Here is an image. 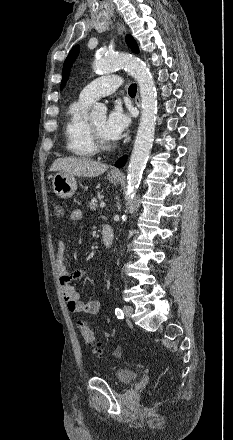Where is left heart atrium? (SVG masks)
<instances>
[{
	"label": "left heart atrium",
	"mask_w": 233,
	"mask_h": 440,
	"mask_svg": "<svg viewBox=\"0 0 233 440\" xmlns=\"http://www.w3.org/2000/svg\"><path fill=\"white\" fill-rule=\"evenodd\" d=\"M129 115L119 105H115L106 117L105 129L111 140L120 139L130 125Z\"/></svg>",
	"instance_id": "obj_1"
}]
</instances>
